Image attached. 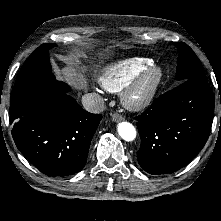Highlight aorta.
<instances>
[{
  "label": "aorta",
  "mask_w": 221,
  "mask_h": 221,
  "mask_svg": "<svg viewBox=\"0 0 221 221\" xmlns=\"http://www.w3.org/2000/svg\"><path fill=\"white\" fill-rule=\"evenodd\" d=\"M118 134L125 141H132L136 137V129L129 122H120L117 126Z\"/></svg>",
  "instance_id": "1"
}]
</instances>
